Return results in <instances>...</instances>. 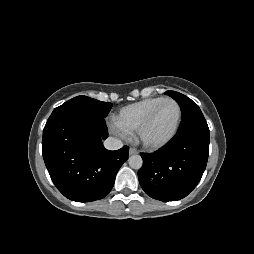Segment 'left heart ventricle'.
<instances>
[{
    "label": "left heart ventricle",
    "instance_id": "obj_1",
    "mask_svg": "<svg viewBox=\"0 0 254 254\" xmlns=\"http://www.w3.org/2000/svg\"><path fill=\"white\" fill-rule=\"evenodd\" d=\"M177 117V106L172 102L164 103L159 108L151 124L146 129L145 138L151 142L163 140L173 130Z\"/></svg>",
    "mask_w": 254,
    "mask_h": 254
}]
</instances>
